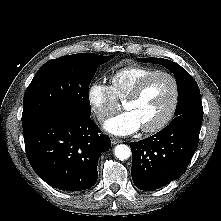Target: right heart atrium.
I'll list each match as a JSON object with an SVG mask.
<instances>
[{"label":"right heart atrium","instance_id":"obj_1","mask_svg":"<svg viewBox=\"0 0 221 221\" xmlns=\"http://www.w3.org/2000/svg\"><path fill=\"white\" fill-rule=\"evenodd\" d=\"M86 98L92 114L99 122H104L116 109V98L110 87L100 81L88 86Z\"/></svg>","mask_w":221,"mask_h":221}]
</instances>
